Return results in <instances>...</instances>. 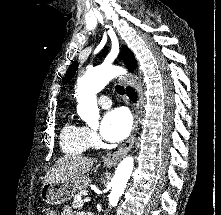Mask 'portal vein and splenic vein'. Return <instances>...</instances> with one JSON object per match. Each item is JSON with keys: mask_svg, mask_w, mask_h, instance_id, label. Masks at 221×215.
I'll return each instance as SVG.
<instances>
[{"mask_svg": "<svg viewBox=\"0 0 221 215\" xmlns=\"http://www.w3.org/2000/svg\"><path fill=\"white\" fill-rule=\"evenodd\" d=\"M91 200V198L87 197L84 199V202H89Z\"/></svg>", "mask_w": 221, "mask_h": 215, "instance_id": "18ae733b", "label": "portal vein and splenic vein"}]
</instances>
